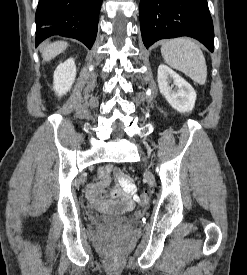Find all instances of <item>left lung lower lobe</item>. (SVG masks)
<instances>
[{"label": "left lung lower lobe", "mask_w": 247, "mask_h": 275, "mask_svg": "<svg viewBox=\"0 0 247 275\" xmlns=\"http://www.w3.org/2000/svg\"><path fill=\"white\" fill-rule=\"evenodd\" d=\"M140 27L149 48L164 38L189 36L214 50V29L207 0H141Z\"/></svg>", "instance_id": "0a47b994"}]
</instances>
